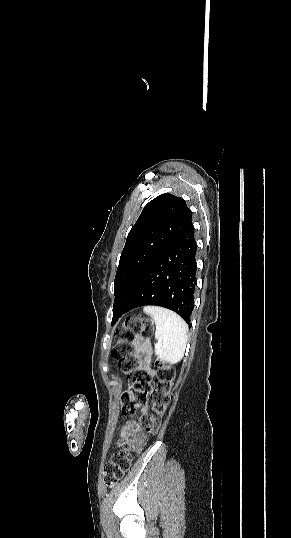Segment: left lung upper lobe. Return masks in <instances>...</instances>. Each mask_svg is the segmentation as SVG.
<instances>
[{
  "label": "left lung upper lobe",
  "instance_id": "left-lung-upper-lobe-1",
  "mask_svg": "<svg viewBox=\"0 0 291 538\" xmlns=\"http://www.w3.org/2000/svg\"><path fill=\"white\" fill-rule=\"evenodd\" d=\"M184 199L162 194L150 201L130 230L114 280L113 308H124L159 255L191 222Z\"/></svg>",
  "mask_w": 291,
  "mask_h": 538
}]
</instances>
